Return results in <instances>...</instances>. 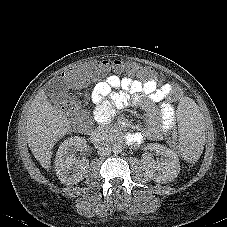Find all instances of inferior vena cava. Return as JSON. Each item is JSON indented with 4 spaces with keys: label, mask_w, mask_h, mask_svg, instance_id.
I'll return each mask as SVG.
<instances>
[{
    "label": "inferior vena cava",
    "mask_w": 227,
    "mask_h": 227,
    "mask_svg": "<svg viewBox=\"0 0 227 227\" xmlns=\"http://www.w3.org/2000/svg\"><path fill=\"white\" fill-rule=\"evenodd\" d=\"M112 148L107 143H102L98 148V155L100 157H106L111 154Z\"/></svg>",
    "instance_id": "obj_1"
}]
</instances>
